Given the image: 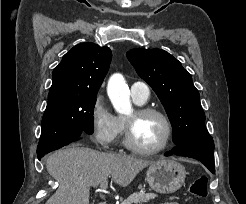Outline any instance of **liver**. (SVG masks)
<instances>
[{
	"mask_svg": "<svg viewBox=\"0 0 246 204\" xmlns=\"http://www.w3.org/2000/svg\"><path fill=\"white\" fill-rule=\"evenodd\" d=\"M154 163L116 153H103L85 147H70L51 154L46 161L48 173L59 183L46 204H89L90 187L111 176L114 182L128 186L136 175Z\"/></svg>",
	"mask_w": 246,
	"mask_h": 204,
	"instance_id": "obj_1",
	"label": "liver"
}]
</instances>
